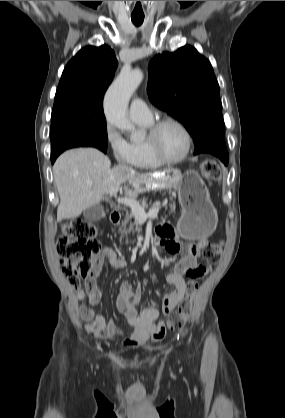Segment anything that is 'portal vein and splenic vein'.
Wrapping results in <instances>:
<instances>
[{
	"label": "portal vein and splenic vein",
	"instance_id": "obj_1",
	"mask_svg": "<svg viewBox=\"0 0 285 418\" xmlns=\"http://www.w3.org/2000/svg\"><path fill=\"white\" fill-rule=\"evenodd\" d=\"M119 191V188H113L112 190L108 191L107 194L110 195H116ZM117 202L119 204H123L127 207H130L133 215L135 218L140 222H145L148 218L153 219L156 218L159 212V208H153L149 210L148 213L145 212V210L140 206V204L135 199H129V198H118ZM166 202L163 203L165 205Z\"/></svg>",
	"mask_w": 285,
	"mask_h": 418
}]
</instances>
